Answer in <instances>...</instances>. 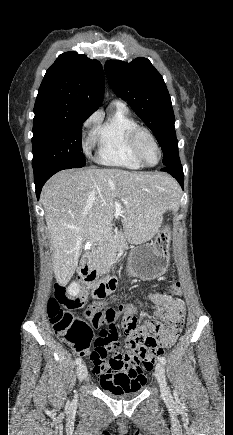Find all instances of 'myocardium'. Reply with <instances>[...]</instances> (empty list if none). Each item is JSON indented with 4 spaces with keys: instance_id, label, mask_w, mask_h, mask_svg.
I'll return each instance as SVG.
<instances>
[{
    "instance_id": "obj_1",
    "label": "myocardium",
    "mask_w": 233,
    "mask_h": 435,
    "mask_svg": "<svg viewBox=\"0 0 233 435\" xmlns=\"http://www.w3.org/2000/svg\"><path fill=\"white\" fill-rule=\"evenodd\" d=\"M142 136H146L154 144L158 151L159 157L155 164H149L144 158L140 142ZM130 144L135 156L144 166L155 167L159 164L162 158V150L154 134L148 128L139 125L135 127L130 133Z\"/></svg>"
}]
</instances>
